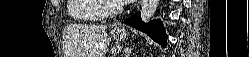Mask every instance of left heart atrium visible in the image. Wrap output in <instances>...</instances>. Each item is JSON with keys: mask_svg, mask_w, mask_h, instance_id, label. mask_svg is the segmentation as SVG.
Listing matches in <instances>:
<instances>
[{"mask_svg": "<svg viewBox=\"0 0 249 57\" xmlns=\"http://www.w3.org/2000/svg\"><path fill=\"white\" fill-rule=\"evenodd\" d=\"M133 0H117L118 3L120 4H128L130 2H132Z\"/></svg>", "mask_w": 249, "mask_h": 57, "instance_id": "left-heart-atrium-1", "label": "left heart atrium"}]
</instances>
